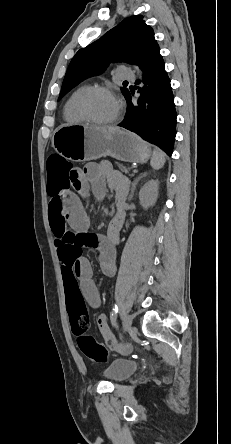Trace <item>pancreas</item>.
<instances>
[{"instance_id":"cf45deb5","label":"pancreas","mask_w":231,"mask_h":444,"mask_svg":"<svg viewBox=\"0 0 231 444\" xmlns=\"http://www.w3.org/2000/svg\"><path fill=\"white\" fill-rule=\"evenodd\" d=\"M118 168L120 169L121 172H124L126 174H129L130 168L128 166H125L121 163H117ZM132 175V174H130Z\"/></svg>"}]
</instances>
